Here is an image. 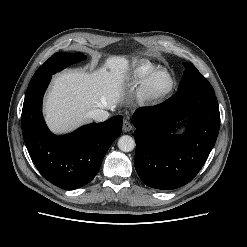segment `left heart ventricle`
I'll return each instance as SVG.
<instances>
[{
	"instance_id": "obj_1",
	"label": "left heart ventricle",
	"mask_w": 247,
	"mask_h": 247,
	"mask_svg": "<svg viewBox=\"0 0 247 247\" xmlns=\"http://www.w3.org/2000/svg\"><path fill=\"white\" fill-rule=\"evenodd\" d=\"M169 86V78L163 73H157L149 81L148 92L152 96H159L166 92Z\"/></svg>"
}]
</instances>
